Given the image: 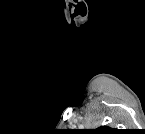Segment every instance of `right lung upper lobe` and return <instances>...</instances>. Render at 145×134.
<instances>
[{
  "label": "right lung upper lobe",
  "mask_w": 145,
  "mask_h": 134,
  "mask_svg": "<svg viewBox=\"0 0 145 134\" xmlns=\"http://www.w3.org/2000/svg\"><path fill=\"white\" fill-rule=\"evenodd\" d=\"M96 130H97L98 132H100V133H106V132L112 131L113 129H111V128H109V127H104V126H102V127H100V128H97Z\"/></svg>",
  "instance_id": "right-lung-upper-lobe-1"
}]
</instances>
